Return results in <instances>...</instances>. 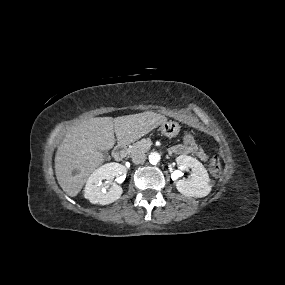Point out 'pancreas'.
I'll list each match as a JSON object with an SVG mask.
<instances>
[{
  "label": "pancreas",
  "instance_id": "pancreas-1",
  "mask_svg": "<svg viewBox=\"0 0 285 285\" xmlns=\"http://www.w3.org/2000/svg\"><path fill=\"white\" fill-rule=\"evenodd\" d=\"M150 139H142L128 148V154L134 156L138 153L147 152L150 149Z\"/></svg>",
  "mask_w": 285,
  "mask_h": 285
}]
</instances>
